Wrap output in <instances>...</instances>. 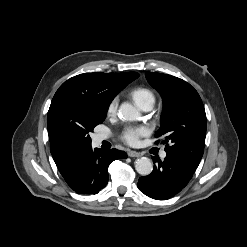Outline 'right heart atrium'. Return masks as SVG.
<instances>
[{
  "label": "right heart atrium",
  "mask_w": 247,
  "mask_h": 247,
  "mask_svg": "<svg viewBox=\"0 0 247 247\" xmlns=\"http://www.w3.org/2000/svg\"><path fill=\"white\" fill-rule=\"evenodd\" d=\"M117 108H118V100H117V98H114L109 102V104L107 106V114L109 116L114 115L117 111Z\"/></svg>",
  "instance_id": "obj_1"
}]
</instances>
